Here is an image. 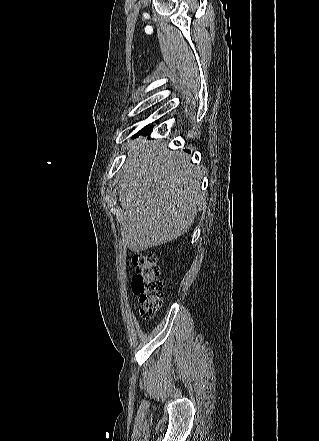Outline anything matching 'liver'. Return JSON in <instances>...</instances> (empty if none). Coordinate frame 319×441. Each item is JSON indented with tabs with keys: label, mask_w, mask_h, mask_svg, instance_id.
Masks as SVG:
<instances>
[{
	"label": "liver",
	"mask_w": 319,
	"mask_h": 441,
	"mask_svg": "<svg viewBox=\"0 0 319 441\" xmlns=\"http://www.w3.org/2000/svg\"><path fill=\"white\" fill-rule=\"evenodd\" d=\"M182 151L160 140L133 141L120 171L123 241L134 252L160 246L181 236L193 224L203 171Z\"/></svg>",
	"instance_id": "6515ba94"
}]
</instances>
